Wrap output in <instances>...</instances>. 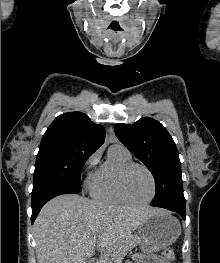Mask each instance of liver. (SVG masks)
Instances as JSON below:
<instances>
[{"mask_svg":"<svg viewBox=\"0 0 220 263\" xmlns=\"http://www.w3.org/2000/svg\"><path fill=\"white\" fill-rule=\"evenodd\" d=\"M148 206L104 204L64 194L46 203L34 223L37 263H85L97 249V263H120L126 240L150 215Z\"/></svg>","mask_w":220,"mask_h":263,"instance_id":"liver-1","label":"liver"}]
</instances>
